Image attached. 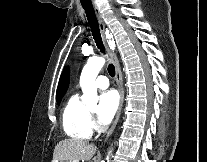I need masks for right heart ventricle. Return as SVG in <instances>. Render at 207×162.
<instances>
[{"mask_svg": "<svg viewBox=\"0 0 207 162\" xmlns=\"http://www.w3.org/2000/svg\"><path fill=\"white\" fill-rule=\"evenodd\" d=\"M61 125L64 132L71 138L87 140L92 136L90 114L77 94L67 101L61 116Z\"/></svg>", "mask_w": 207, "mask_h": 162, "instance_id": "e07e8e85", "label": "right heart ventricle"}]
</instances>
